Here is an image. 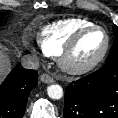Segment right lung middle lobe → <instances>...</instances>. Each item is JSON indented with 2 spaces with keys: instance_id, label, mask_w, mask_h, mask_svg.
<instances>
[{
  "instance_id": "right-lung-middle-lobe-1",
  "label": "right lung middle lobe",
  "mask_w": 118,
  "mask_h": 118,
  "mask_svg": "<svg viewBox=\"0 0 118 118\" xmlns=\"http://www.w3.org/2000/svg\"><path fill=\"white\" fill-rule=\"evenodd\" d=\"M3 18V14L2 13H0V20Z\"/></svg>"
}]
</instances>
